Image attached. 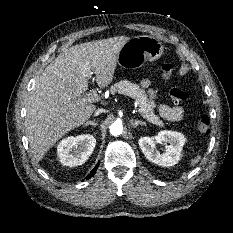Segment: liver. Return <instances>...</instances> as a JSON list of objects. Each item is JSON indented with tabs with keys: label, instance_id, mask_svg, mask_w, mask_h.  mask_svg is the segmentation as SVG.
Returning a JSON list of instances; mask_svg holds the SVG:
<instances>
[{
	"label": "liver",
	"instance_id": "liver-1",
	"mask_svg": "<svg viewBox=\"0 0 233 233\" xmlns=\"http://www.w3.org/2000/svg\"><path fill=\"white\" fill-rule=\"evenodd\" d=\"M129 39L119 36L72 46L37 78L25 120L34 160L40 161L59 139L90 118L96 106L78 103L88 90L89 74H95L101 87L111 84L118 54Z\"/></svg>",
	"mask_w": 233,
	"mask_h": 233
}]
</instances>
